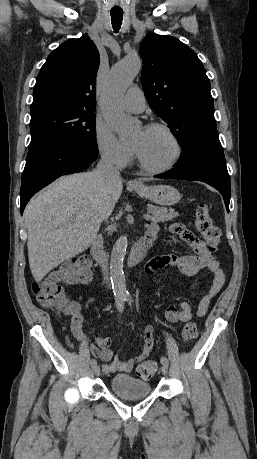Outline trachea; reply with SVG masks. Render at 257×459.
<instances>
[{"label":"trachea","instance_id":"trachea-1","mask_svg":"<svg viewBox=\"0 0 257 459\" xmlns=\"http://www.w3.org/2000/svg\"><path fill=\"white\" fill-rule=\"evenodd\" d=\"M111 23L114 31L117 33L123 20V11H111Z\"/></svg>","mask_w":257,"mask_h":459}]
</instances>
